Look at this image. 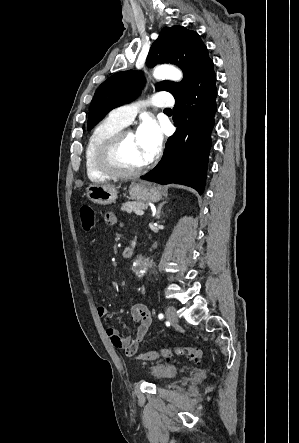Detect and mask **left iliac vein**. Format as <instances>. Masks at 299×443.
Instances as JSON below:
<instances>
[{"label":"left iliac vein","instance_id":"left-iliac-vein-1","mask_svg":"<svg viewBox=\"0 0 299 443\" xmlns=\"http://www.w3.org/2000/svg\"><path fill=\"white\" fill-rule=\"evenodd\" d=\"M166 316H167V319L169 320V322L171 324H177L178 323V317H177L176 309L174 307L169 306L166 309Z\"/></svg>","mask_w":299,"mask_h":443}]
</instances>
